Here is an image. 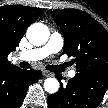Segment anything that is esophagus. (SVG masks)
Segmentation results:
<instances>
[{
	"label": "esophagus",
	"mask_w": 108,
	"mask_h": 108,
	"mask_svg": "<svg viewBox=\"0 0 108 108\" xmlns=\"http://www.w3.org/2000/svg\"><path fill=\"white\" fill-rule=\"evenodd\" d=\"M43 75L47 76V77L53 76V74L51 72H48L46 70L43 71Z\"/></svg>",
	"instance_id": "1"
}]
</instances>
